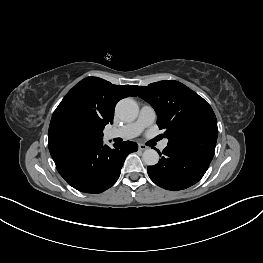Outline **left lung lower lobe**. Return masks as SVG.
<instances>
[{
  "instance_id": "obj_1",
  "label": "left lung lower lobe",
  "mask_w": 263,
  "mask_h": 263,
  "mask_svg": "<svg viewBox=\"0 0 263 263\" xmlns=\"http://www.w3.org/2000/svg\"><path fill=\"white\" fill-rule=\"evenodd\" d=\"M159 154L161 155L160 152ZM163 154L156 165L148 166V175L158 186L174 191L186 189L197 183L213 158L169 146L163 150Z\"/></svg>"
}]
</instances>
